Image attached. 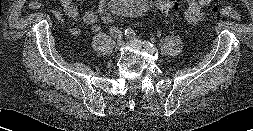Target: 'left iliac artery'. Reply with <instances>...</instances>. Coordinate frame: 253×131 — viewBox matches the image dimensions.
Returning <instances> with one entry per match:
<instances>
[{
	"label": "left iliac artery",
	"instance_id": "obj_1",
	"mask_svg": "<svg viewBox=\"0 0 253 131\" xmlns=\"http://www.w3.org/2000/svg\"><path fill=\"white\" fill-rule=\"evenodd\" d=\"M124 33L127 37L136 35V32L132 28H127Z\"/></svg>",
	"mask_w": 253,
	"mask_h": 131
}]
</instances>
